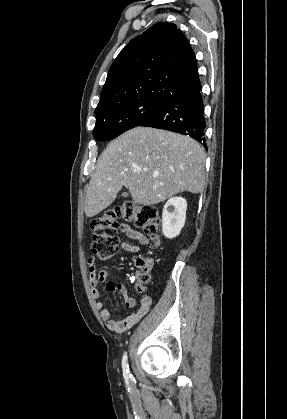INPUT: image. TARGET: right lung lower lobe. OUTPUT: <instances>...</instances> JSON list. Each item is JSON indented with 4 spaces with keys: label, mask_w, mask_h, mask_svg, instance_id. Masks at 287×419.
<instances>
[{
    "label": "right lung lower lobe",
    "mask_w": 287,
    "mask_h": 419,
    "mask_svg": "<svg viewBox=\"0 0 287 419\" xmlns=\"http://www.w3.org/2000/svg\"><path fill=\"white\" fill-rule=\"evenodd\" d=\"M202 87L178 93L164 102L162 107L139 126L164 129L189 135L199 142H205L204 104Z\"/></svg>",
    "instance_id": "obj_1"
}]
</instances>
